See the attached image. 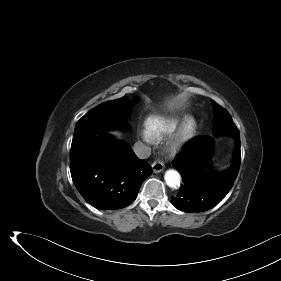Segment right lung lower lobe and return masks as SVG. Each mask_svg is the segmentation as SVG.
Here are the masks:
<instances>
[{"label": "right lung lower lobe", "mask_w": 281, "mask_h": 281, "mask_svg": "<svg viewBox=\"0 0 281 281\" xmlns=\"http://www.w3.org/2000/svg\"><path fill=\"white\" fill-rule=\"evenodd\" d=\"M73 183L82 197L100 210H115L133 202L152 168L130 146L106 133L73 139L70 150Z\"/></svg>", "instance_id": "98d812e1"}]
</instances>
